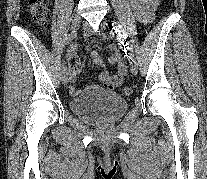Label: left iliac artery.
<instances>
[{"label":"left iliac artery","mask_w":207,"mask_h":179,"mask_svg":"<svg viewBox=\"0 0 207 179\" xmlns=\"http://www.w3.org/2000/svg\"><path fill=\"white\" fill-rule=\"evenodd\" d=\"M111 25L113 26V29L117 33V35L120 36V39L124 40V45L126 46L127 55L130 58L131 63H134L135 52L132 49L133 45L129 44V39L127 37H125L124 31L122 30L121 25L117 22H113V23H111Z\"/></svg>","instance_id":"1"}]
</instances>
